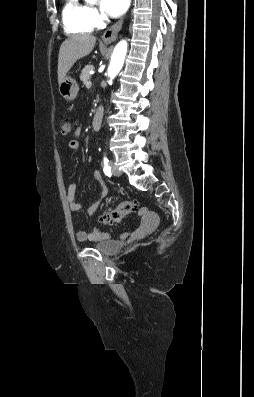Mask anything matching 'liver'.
Masks as SVG:
<instances>
[{"instance_id": "liver-1", "label": "liver", "mask_w": 254, "mask_h": 397, "mask_svg": "<svg viewBox=\"0 0 254 397\" xmlns=\"http://www.w3.org/2000/svg\"><path fill=\"white\" fill-rule=\"evenodd\" d=\"M96 43V37L90 34L74 35L66 39L60 47L58 56V83L65 78L74 63L89 55Z\"/></svg>"}]
</instances>
